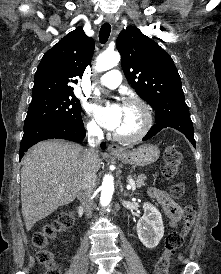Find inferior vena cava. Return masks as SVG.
Masks as SVG:
<instances>
[{
  "instance_id": "602c4592",
  "label": "inferior vena cava",
  "mask_w": 221,
  "mask_h": 274,
  "mask_svg": "<svg viewBox=\"0 0 221 274\" xmlns=\"http://www.w3.org/2000/svg\"><path fill=\"white\" fill-rule=\"evenodd\" d=\"M103 138V132L97 125L88 127V143L91 148L86 150L83 164V176L78 191V197L89 217L92 211V197L96 188V163L98 159V145Z\"/></svg>"
}]
</instances>
